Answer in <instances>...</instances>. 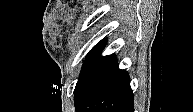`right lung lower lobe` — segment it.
I'll return each instance as SVG.
<instances>
[{"label":"right lung lower lobe","instance_id":"1","mask_svg":"<svg viewBox=\"0 0 193 112\" xmlns=\"http://www.w3.org/2000/svg\"><path fill=\"white\" fill-rule=\"evenodd\" d=\"M100 53L76 84V112H133L134 97L128 73L118 68L114 55L101 57Z\"/></svg>","mask_w":193,"mask_h":112}]
</instances>
